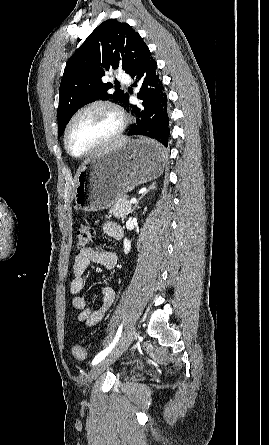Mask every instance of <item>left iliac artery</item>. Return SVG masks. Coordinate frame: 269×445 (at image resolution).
Segmentation results:
<instances>
[{"mask_svg":"<svg viewBox=\"0 0 269 445\" xmlns=\"http://www.w3.org/2000/svg\"><path fill=\"white\" fill-rule=\"evenodd\" d=\"M121 332H122V324L119 326V328H118V330H117V333H116V336H115L113 342H112L106 349H104L103 351H101L100 353H98V354L95 356V358H94L93 361H92V365H96V364H98L102 359H104V358L108 355V353H109V352L114 348V346L116 345V343H117L119 337L121 336Z\"/></svg>","mask_w":269,"mask_h":445,"instance_id":"44dca946","label":"left iliac artery"}]
</instances>
